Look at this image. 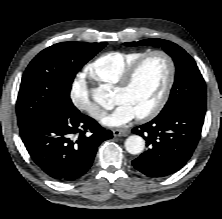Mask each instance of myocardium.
<instances>
[{"instance_id":"1","label":"myocardium","mask_w":222,"mask_h":219,"mask_svg":"<svg viewBox=\"0 0 222 219\" xmlns=\"http://www.w3.org/2000/svg\"><path fill=\"white\" fill-rule=\"evenodd\" d=\"M154 55L160 56L165 60L168 68V77L165 87L157 103L147 112L137 116V118L141 121L150 120L156 117L163 110L170 97L176 77V65L172 56L164 50H151L145 52L125 70V72L123 73L122 77L120 78L119 82L116 85V88L118 90L123 91L128 89L131 86L143 62L147 58Z\"/></svg>"}]
</instances>
